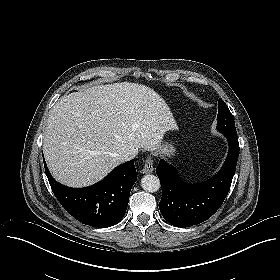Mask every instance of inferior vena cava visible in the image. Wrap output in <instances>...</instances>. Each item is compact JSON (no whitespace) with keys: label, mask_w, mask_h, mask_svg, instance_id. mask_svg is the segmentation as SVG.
<instances>
[{"label":"inferior vena cava","mask_w":280,"mask_h":280,"mask_svg":"<svg viewBox=\"0 0 280 280\" xmlns=\"http://www.w3.org/2000/svg\"><path fill=\"white\" fill-rule=\"evenodd\" d=\"M138 151L137 150H130V151H127L125 152L121 158L123 161H129L133 158H135V156L137 155Z\"/></svg>","instance_id":"obj_1"}]
</instances>
